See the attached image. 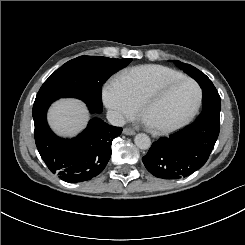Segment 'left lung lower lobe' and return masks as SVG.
Wrapping results in <instances>:
<instances>
[{
    "label": "left lung lower lobe",
    "mask_w": 245,
    "mask_h": 245,
    "mask_svg": "<svg viewBox=\"0 0 245 245\" xmlns=\"http://www.w3.org/2000/svg\"><path fill=\"white\" fill-rule=\"evenodd\" d=\"M203 111L196 121L154 142L142 158L147 170L162 179H181L201 168L214 148L220 130L221 99L208 77L198 81Z\"/></svg>",
    "instance_id": "0a47b994"
}]
</instances>
